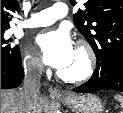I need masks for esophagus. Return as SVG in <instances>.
Masks as SVG:
<instances>
[{"label":"esophagus","instance_id":"obj_1","mask_svg":"<svg viewBox=\"0 0 123 113\" xmlns=\"http://www.w3.org/2000/svg\"><path fill=\"white\" fill-rule=\"evenodd\" d=\"M50 95L52 96H62L63 93L55 87H49L48 89Z\"/></svg>","mask_w":123,"mask_h":113}]
</instances>
